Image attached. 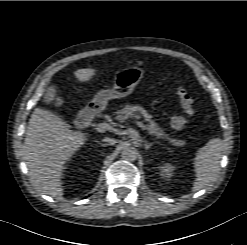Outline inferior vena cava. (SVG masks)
I'll return each mask as SVG.
<instances>
[{
    "mask_svg": "<svg viewBox=\"0 0 247 245\" xmlns=\"http://www.w3.org/2000/svg\"><path fill=\"white\" fill-rule=\"evenodd\" d=\"M103 142H105L106 145H114L117 141L113 138L106 137L103 139Z\"/></svg>",
    "mask_w": 247,
    "mask_h": 245,
    "instance_id": "1",
    "label": "inferior vena cava"
}]
</instances>
